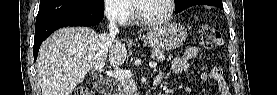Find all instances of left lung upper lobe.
Segmentation results:
<instances>
[{
    "label": "left lung upper lobe",
    "mask_w": 277,
    "mask_h": 95,
    "mask_svg": "<svg viewBox=\"0 0 277 95\" xmlns=\"http://www.w3.org/2000/svg\"><path fill=\"white\" fill-rule=\"evenodd\" d=\"M208 3L214 6H223L222 0H175V12H181L191 6Z\"/></svg>",
    "instance_id": "obj_1"
}]
</instances>
